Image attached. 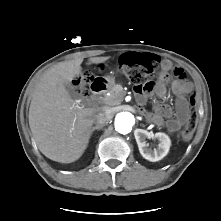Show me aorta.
Segmentation results:
<instances>
[{"instance_id": "aorta-1", "label": "aorta", "mask_w": 221, "mask_h": 221, "mask_svg": "<svg viewBox=\"0 0 221 221\" xmlns=\"http://www.w3.org/2000/svg\"><path fill=\"white\" fill-rule=\"evenodd\" d=\"M134 124H135V116L128 111L120 112L115 116L114 125L116 131H118L119 133L122 134L129 133Z\"/></svg>"}]
</instances>
